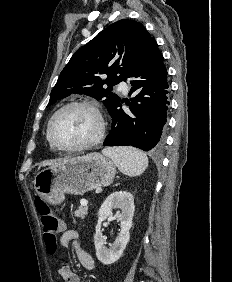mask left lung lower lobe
<instances>
[{"label": "left lung lower lobe", "mask_w": 232, "mask_h": 282, "mask_svg": "<svg viewBox=\"0 0 232 282\" xmlns=\"http://www.w3.org/2000/svg\"><path fill=\"white\" fill-rule=\"evenodd\" d=\"M132 85L130 113L121 108L120 100L109 114L112 127L104 146H133L144 151L158 150L165 141V125L169 105V84L163 55L155 39L149 43L143 57L128 75Z\"/></svg>", "instance_id": "1"}]
</instances>
